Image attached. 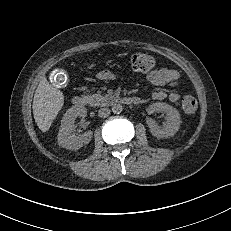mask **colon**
<instances>
[{"label": "colon", "instance_id": "5ec220e1", "mask_svg": "<svg viewBox=\"0 0 231 231\" xmlns=\"http://www.w3.org/2000/svg\"><path fill=\"white\" fill-rule=\"evenodd\" d=\"M131 67L135 72L146 73L156 66L155 59L145 53H135L130 58ZM197 100L193 96H185L182 101V108L186 113H193L197 109Z\"/></svg>", "mask_w": 231, "mask_h": 231}]
</instances>
